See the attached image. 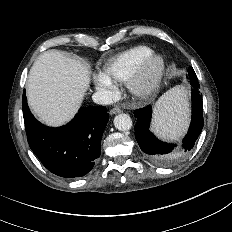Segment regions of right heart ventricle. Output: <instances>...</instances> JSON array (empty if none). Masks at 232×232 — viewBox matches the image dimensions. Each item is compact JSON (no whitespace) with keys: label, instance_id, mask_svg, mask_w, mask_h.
I'll return each mask as SVG.
<instances>
[{"label":"right heart ventricle","instance_id":"e07e8e85","mask_svg":"<svg viewBox=\"0 0 232 232\" xmlns=\"http://www.w3.org/2000/svg\"><path fill=\"white\" fill-rule=\"evenodd\" d=\"M154 50L146 45H138L122 51L107 60L103 66V74L113 82L128 81L137 66Z\"/></svg>","mask_w":232,"mask_h":232}]
</instances>
